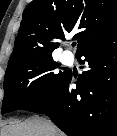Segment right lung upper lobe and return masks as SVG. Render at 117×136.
<instances>
[{
    "instance_id": "1",
    "label": "right lung upper lobe",
    "mask_w": 117,
    "mask_h": 136,
    "mask_svg": "<svg viewBox=\"0 0 117 136\" xmlns=\"http://www.w3.org/2000/svg\"><path fill=\"white\" fill-rule=\"evenodd\" d=\"M117 29V0H33L25 8L8 65L35 56H52L65 34L77 31L79 53Z\"/></svg>"
}]
</instances>
